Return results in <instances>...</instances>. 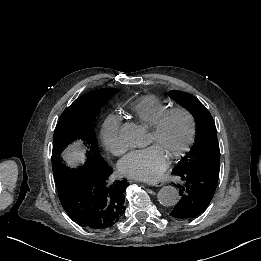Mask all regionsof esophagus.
<instances>
[{"instance_id": "esophagus-1", "label": "esophagus", "mask_w": 261, "mask_h": 261, "mask_svg": "<svg viewBox=\"0 0 261 261\" xmlns=\"http://www.w3.org/2000/svg\"><path fill=\"white\" fill-rule=\"evenodd\" d=\"M144 183L150 185V186H162L164 184L163 181H159V180H145Z\"/></svg>"}]
</instances>
